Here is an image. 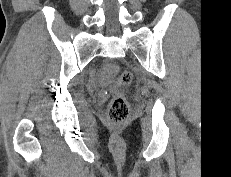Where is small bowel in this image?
<instances>
[{
    "mask_svg": "<svg viewBox=\"0 0 231 177\" xmlns=\"http://www.w3.org/2000/svg\"><path fill=\"white\" fill-rule=\"evenodd\" d=\"M118 72V66L115 64H107L104 68V74L99 79L101 86H107L112 78Z\"/></svg>",
    "mask_w": 231,
    "mask_h": 177,
    "instance_id": "c3829d8e",
    "label": "small bowel"
}]
</instances>
